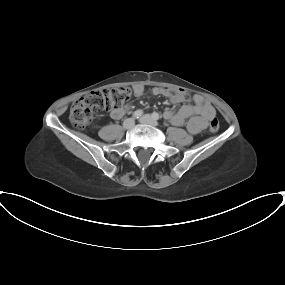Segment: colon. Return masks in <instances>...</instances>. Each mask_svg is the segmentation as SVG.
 Returning a JSON list of instances; mask_svg holds the SVG:
<instances>
[{
	"instance_id": "5ec220e1",
	"label": "colon",
	"mask_w": 285,
	"mask_h": 285,
	"mask_svg": "<svg viewBox=\"0 0 285 285\" xmlns=\"http://www.w3.org/2000/svg\"><path fill=\"white\" fill-rule=\"evenodd\" d=\"M182 93L184 100L193 99L191 93L178 90ZM130 97V90L125 87L100 89L78 99L74 102L69 111V119L72 125L78 129L88 126L96 114L122 106ZM220 124L217 118L210 120L209 129L217 132Z\"/></svg>"
}]
</instances>
